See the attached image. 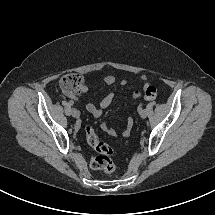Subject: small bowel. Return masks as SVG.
<instances>
[{"label":"small bowel","mask_w":215,"mask_h":215,"mask_svg":"<svg viewBox=\"0 0 215 215\" xmlns=\"http://www.w3.org/2000/svg\"><path fill=\"white\" fill-rule=\"evenodd\" d=\"M143 80H146V76H142ZM104 82L108 85H112V84H121V85H125L127 83L126 80L122 79V80H118L115 76L113 75H107L104 77ZM87 91V87L83 86V90L82 92H86ZM140 97V93L138 91L134 92L133 94V98L137 99ZM114 99V94L113 93H108L106 94L101 101L98 104H94V103H88L86 105V110L93 115L94 117H100L103 114V111L105 108H107L113 101ZM103 128L111 135V136H116V131L115 129H113L112 127H108L106 125H103ZM133 128V119L132 118H128L126 121V124L122 130V134L125 137H128L131 134Z\"/></svg>","instance_id":"obj_1"}]
</instances>
